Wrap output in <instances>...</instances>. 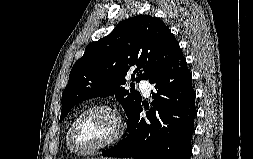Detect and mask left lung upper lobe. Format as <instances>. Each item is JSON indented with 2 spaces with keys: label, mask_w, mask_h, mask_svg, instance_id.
Masks as SVG:
<instances>
[{
  "label": "left lung upper lobe",
  "mask_w": 253,
  "mask_h": 159,
  "mask_svg": "<svg viewBox=\"0 0 253 159\" xmlns=\"http://www.w3.org/2000/svg\"><path fill=\"white\" fill-rule=\"evenodd\" d=\"M180 50L178 42L159 18L138 15L120 22L106 37L89 44L74 64L62 94V121L77 103L115 95L127 117L141 103V95L126 90L125 76L149 80Z\"/></svg>",
  "instance_id": "left-lung-upper-lobe-1"
}]
</instances>
